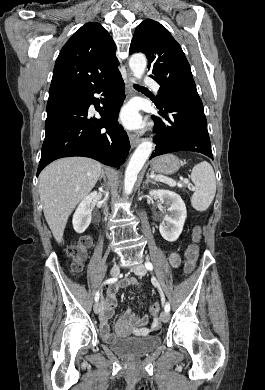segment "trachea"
<instances>
[{
	"mask_svg": "<svg viewBox=\"0 0 265 390\" xmlns=\"http://www.w3.org/2000/svg\"><path fill=\"white\" fill-rule=\"evenodd\" d=\"M135 88H143L142 86H139L137 84L134 85Z\"/></svg>",
	"mask_w": 265,
	"mask_h": 390,
	"instance_id": "trachea-1",
	"label": "trachea"
}]
</instances>
